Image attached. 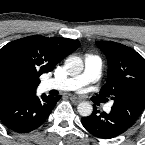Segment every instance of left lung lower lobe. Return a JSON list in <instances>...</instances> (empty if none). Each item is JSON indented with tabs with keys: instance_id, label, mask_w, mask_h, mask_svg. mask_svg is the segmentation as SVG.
I'll use <instances>...</instances> for the list:
<instances>
[{
	"instance_id": "1",
	"label": "left lung lower lobe",
	"mask_w": 145,
	"mask_h": 145,
	"mask_svg": "<svg viewBox=\"0 0 145 145\" xmlns=\"http://www.w3.org/2000/svg\"><path fill=\"white\" fill-rule=\"evenodd\" d=\"M81 122L92 135L103 139L114 138L132 126L114 112L111 111L108 114L100 112L95 106L93 113L88 117H83Z\"/></svg>"
}]
</instances>
